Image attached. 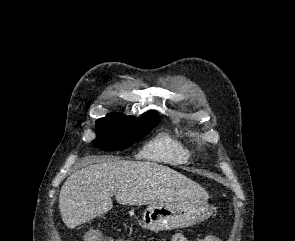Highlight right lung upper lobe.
I'll list each match as a JSON object with an SVG mask.
<instances>
[{
	"instance_id": "1",
	"label": "right lung upper lobe",
	"mask_w": 295,
	"mask_h": 241,
	"mask_svg": "<svg viewBox=\"0 0 295 241\" xmlns=\"http://www.w3.org/2000/svg\"><path fill=\"white\" fill-rule=\"evenodd\" d=\"M145 114H148V115H151V116H154V117H158V114L155 112V111H149Z\"/></svg>"
}]
</instances>
